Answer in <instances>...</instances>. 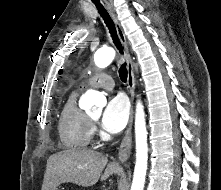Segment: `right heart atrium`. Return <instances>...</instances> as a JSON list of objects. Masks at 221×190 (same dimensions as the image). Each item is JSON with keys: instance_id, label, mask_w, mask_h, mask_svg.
<instances>
[{"instance_id": "1", "label": "right heart atrium", "mask_w": 221, "mask_h": 190, "mask_svg": "<svg viewBox=\"0 0 221 190\" xmlns=\"http://www.w3.org/2000/svg\"><path fill=\"white\" fill-rule=\"evenodd\" d=\"M98 133V130L95 125H92V135H96Z\"/></svg>"}]
</instances>
